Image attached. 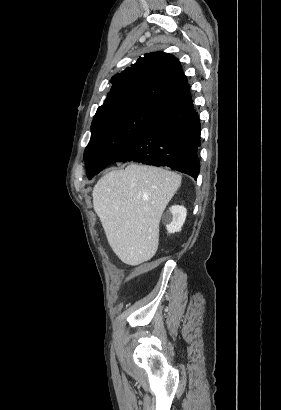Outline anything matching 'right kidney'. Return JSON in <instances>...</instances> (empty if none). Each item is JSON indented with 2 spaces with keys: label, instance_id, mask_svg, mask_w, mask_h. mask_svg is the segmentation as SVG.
<instances>
[{
  "label": "right kidney",
  "instance_id": "obj_1",
  "mask_svg": "<svg viewBox=\"0 0 281 410\" xmlns=\"http://www.w3.org/2000/svg\"><path fill=\"white\" fill-rule=\"evenodd\" d=\"M187 215V210L183 206L174 205L163 216L168 233L181 231Z\"/></svg>",
  "mask_w": 281,
  "mask_h": 410
}]
</instances>
